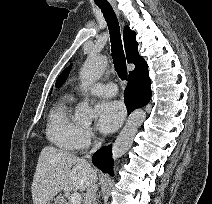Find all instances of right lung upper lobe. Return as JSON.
I'll return each instance as SVG.
<instances>
[{
    "instance_id": "right-lung-upper-lobe-1",
    "label": "right lung upper lobe",
    "mask_w": 212,
    "mask_h": 204,
    "mask_svg": "<svg viewBox=\"0 0 212 204\" xmlns=\"http://www.w3.org/2000/svg\"><path fill=\"white\" fill-rule=\"evenodd\" d=\"M124 44L128 63H134L135 69L129 73L132 75L143 66H147L145 60L138 54V43L136 41V33L128 26L124 28Z\"/></svg>"
}]
</instances>
